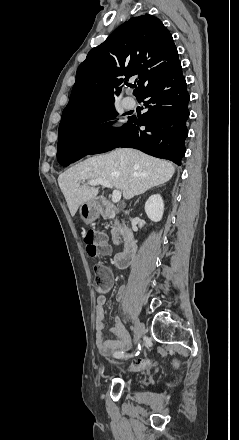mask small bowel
Listing matches in <instances>:
<instances>
[{"label": "small bowel", "instance_id": "small-bowel-1", "mask_svg": "<svg viewBox=\"0 0 239 440\" xmlns=\"http://www.w3.org/2000/svg\"><path fill=\"white\" fill-rule=\"evenodd\" d=\"M107 269L108 275H109V282L107 284V286L104 288V290L99 293V295L97 296L96 299V337H95V341H96V346L99 349V352L104 355V356H108V355H113L119 352H125L126 350H128L131 346V340H130V336L128 331L126 330L121 318L119 316H116L114 318V329H113V334H114V339L113 340H106L105 339V335H104V327H105V323H104V305L106 302V298L104 293L110 288L111 285V272L110 270L105 267ZM124 294V288L121 287L118 290V297L122 298Z\"/></svg>", "mask_w": 239, "mask_h": 440}]
</instances>
